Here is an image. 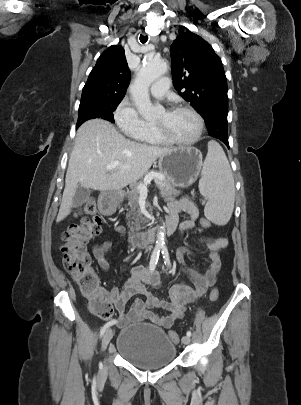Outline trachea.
Instances as JSON below:
<instances>
[{
  "label": "trachea",
  "instance_id": "1",
  "mask_svg": "<svg viewBox=\"0 0 301 405\" xmlns=\"http://www.w3.org/2000/svg\"><path fill=\"white\" fill-rule=\"evenodd\" d=\"M147 41H148V36L140 35V42L141 43H146Z\"/></svg>",
  "mask_w": 301,
  "mask_h": 405
}]
</instances>
